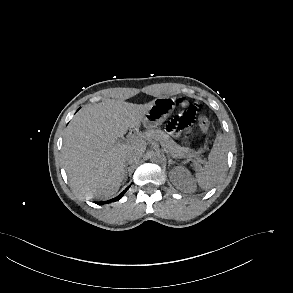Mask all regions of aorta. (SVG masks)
I'll list each match as a JSON object with an SVG mask.
<instances>
[{
	"instance_id": "aorta-1",
	"label": "aorta",
	"mask_w": 293,
	"mask_h": 293,
	"mask_svg": "<svg viewBox=\"0 0 293 293\" xmlns=\"http://www.w3.org/2000/svg\"><path fill=\"white\" fill-rule=\"evenodd\" d=\"M164 160V156L159 152H152L150 154V161L153 163H161Z\"/></svg>"
}]
</instances>
